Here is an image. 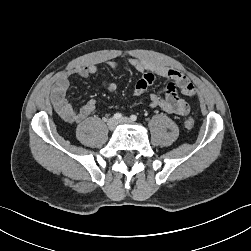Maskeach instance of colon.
<instances>
[{"mask_svg":"<svg viewBox=\"0 0 251 251\" xmlns=\"http://www.w3.org/2000/svg\"><path fill=\"white\" fill-rule=\"evenodd\" d=\"M184 126L187 128V129H192L193 126H194V120L192 118H188L185 120L184 122Z\"/></svg>","mask_w":251,"mask_h":251,"instance_id":"5ec220e1","label":"colon"}]
</instances>
